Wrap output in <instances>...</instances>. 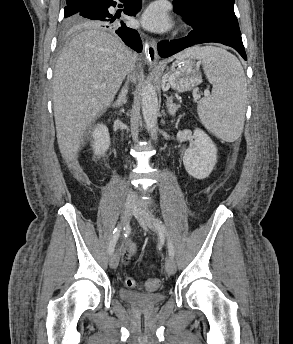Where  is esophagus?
Returning <instances> with one entry per match:
<instances>
[{
	"label": "esophagus",
	"mask_w": 293,
	"mask_h": 344,
	"mask_svg": "<svg viewBox=\"0 0 293 344\" xmlns=\"http://www.w3.org/2000/svg\"><path fill=\"white\" fill-rule=\"evenodd\" d=\"M144 50L148 63L152 66H156L158 63V53L155 39L146 41Z\"/></svg>",
	"instance_id": "34e87169"
}]
</instances>
